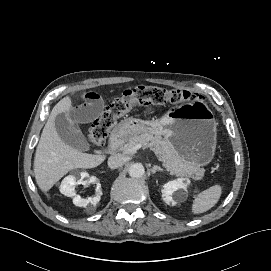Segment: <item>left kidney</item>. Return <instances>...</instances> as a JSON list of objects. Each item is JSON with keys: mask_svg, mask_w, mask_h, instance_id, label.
<instances>
[{"mask_svg": "<svg viewBox=\"0 0 271 271\" xmlns=\"http://www.w3.org/2000/svg\"><path fill=\"white\" fill-rule=\"evenodd\" d=\"M186 187L187 184H185L182 179H177L166 183L162 189V197L164 202L172 205L177 204V202H181L186 193L179 192L178 190L186 191Z\"/></svg>", "mask_w": 271, "mask_h": 271, "instance_id": "5707ae66", "label": "left kidney"}]
</instances>
